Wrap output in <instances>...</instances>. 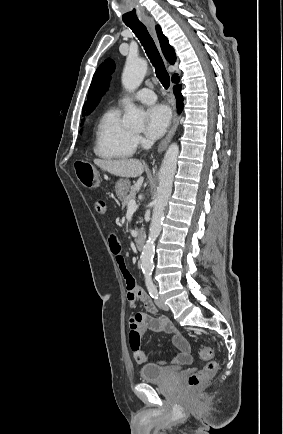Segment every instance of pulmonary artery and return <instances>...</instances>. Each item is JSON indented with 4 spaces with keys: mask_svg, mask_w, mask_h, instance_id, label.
Segmentation results:
<instances>
[{
    "mask_svg": "<svg viewBox=\"0 0 283 434\" xmlns=\"http://www.w3.org/2000/svg\"><path fill=\"white\" fill-rule=\"evenodd\" d=\"M130 99H134V100L139 101V102L144 103V104H152L156 101V95L152 90H150L148 88H142L139 91H137L132 96V98H129L126 96L122 97L119 100V104L123 105L126 102H128Z\"/></svg>",
    "mask_w": 283,
    "mask_h": 434,
    "instance_id": "obj_1",
    "label": "pulmonary artery"
}]
</instances>
